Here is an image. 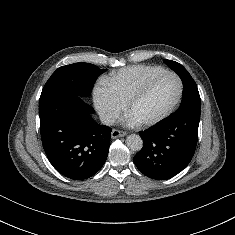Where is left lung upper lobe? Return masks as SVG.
<instances>
[{
  "label": "left lung upper lobe",
  "instance_id": "1",
  "mask_svg": "<svg viewBox=\"0 0 235 235\" xmlns=\"http://www.w3.org/2000/svg\"><path fill=\"white\" fill-rule=\"evenodd\" d=\"M165 63L179 75L183 83L182 102L177 112L185 110L200 111L201 99L197 85L191 75L181 64L175 61L165 60Z\"/></svg>",
  "mask_w": 235,
  "mask_h": 235
}]
</instances>
